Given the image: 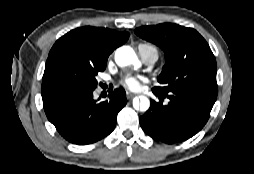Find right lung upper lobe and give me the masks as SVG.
Masks as SVG:
<instances>
[{
  "label": "right lung upper lobe",
  "instance_id": "cb5924a9",
  "mask_svg": "<svg viewBox=\"0 0 254 174\" xmlns=\"http://www.w3.org/2000/svg\"><path fill=\"white\" fill-rule=\"evenodd\" d=\"M128 32L97 27H80L59 38L50 50L48 59L59 52H70L93 64H106L108 56L124 44Z\"/></svg>",
  "mask_w": 254,
  "mask_h": 174
}]
</instances>
